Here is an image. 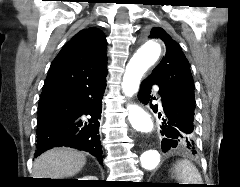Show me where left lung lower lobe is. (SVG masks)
I'll list each match as a JSON object with an SVG mask.
<instances>
[{"instance_id":"0a47b994","label":"left lung lower lobe","mask_w":240,"mask_h":187,"mask_svg":"<svg viewBox=\"0 0 240 187\" xmlns=\"http://www.w3.org/2000/svg\"><path fill=\"white\" fill-rule=\"evenodd\" d=\"M154 84L156 82L151 78L145 79L141 83L138 98L142 103H149L152 110L157 113L158 106L151 103L155 99L151 95ZM158 94L161 97L163 108L159 113V117L163 116L161 124V135L164 136L161 143L162 151L166 153L174 148H181L192 154L196 153L193 125L195 103L160 87Z\"/></svg>"}]
</instances>
